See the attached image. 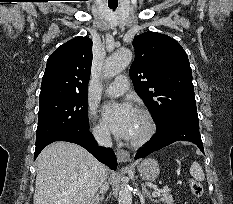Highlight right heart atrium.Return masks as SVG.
<instances>
[{
	"label": "right heart atrium",
	"instance_id": "d8ad5b80",
	"mask_svg": "<svg viewBox=\"0 0 233 204\" xmlns=\"http://www.w3.org/2000/svg\"><path fill=\"white\" fill-rule=\"evenodd\" d=\"M91 119L93 120L92 134L94 138L99 143H107L110 138L108 130L103 124L95 120V116L93 113L91 114Z\"/></svg>",
	"mask_w": 233,
	"mask_h": 204
}]
</instances>
